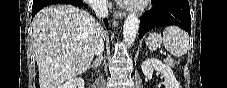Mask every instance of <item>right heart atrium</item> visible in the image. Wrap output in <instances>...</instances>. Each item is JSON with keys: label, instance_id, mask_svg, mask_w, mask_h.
I'll list each match as a JSON object with an SVG mask.
<instances>
[{"label": "right heart atrium", "instance_id": "obj_1", "mask_svg": "<svg viewBox=\"0 0 227 88\" xmlns=\"http://www.w3.org/2000/svg\"><path fill=\"white\" fill-rule=\"evenodd\" d=\"M86 3L93 9L102 7L105 4L104 0H86Z\"/></svg>", "mask_w": 227, "mask_h": 88}]
</instances>
